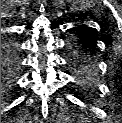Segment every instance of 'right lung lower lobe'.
<instances>
[{
  "mask_svg": "<svg viewBox=\"0 0 122 123\" xmlns=\"http://www.w3.org/2000/svg\"><path fill=\"white\" fill-rule=\"evenodd\" d=\"M21 50L16 42L1 38V95L14 92V84L21 66ZM13 88V89H12Z\"/></svg>",
  "mask_w": 122,
  "mask_h": 123,
  "instance_id": "98d812e1",
  "label": "right lung lower lobe"
}]
</instances>
